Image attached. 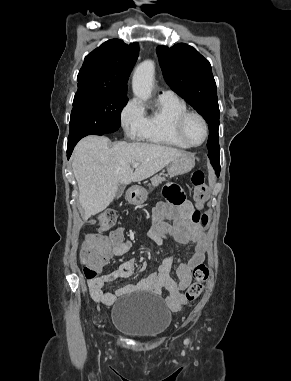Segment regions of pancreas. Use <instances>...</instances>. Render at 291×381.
I'll list each match as a JSON object with an SVG mask.
<instances>
[{
  "mask_svg": "<svg viewBox=\"0 0 291 381\" xmlns=\"http://www.w3.org/2000/svg\"><path fill=\"white\" fill-rule=\"evenodd\" d=\"M164 180H165L164 177H161L160 175H156V176H154V177L151 179L152 186L156 187V186H158L160 183H162V181H164Z\"/></svg>",
  "mask_w": 291,
  "mask_h": 381,
  "instance_id": "1",
  "label": "pancreas"
}]
</instances>
